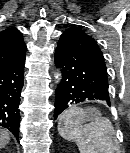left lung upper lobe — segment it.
<instances>
[{"label":"left lung upper lobe","instance_id":"left-lung-upper-lobe-1","mask_svg":"<svg viewBox=\"0 0 130 153\" xmlns=\"http://www.w3.org/2000/svg\"><path fill=\"white\" fill-rule=\"evenodd\" d=\"M67 30H77V31H81L79 28H77V27H71V28H69V29H67Z\"/></svg>","mask_w":130,"mask_h":153}]
</instances>
